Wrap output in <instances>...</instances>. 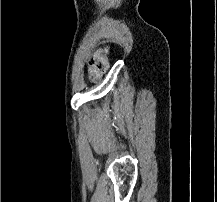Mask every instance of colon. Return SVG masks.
Here are the masks:
<instances>
[{"instance_id":"5ec220e1","label":"colon","mask_w":217,"mask_h":202,"mask_svg":"<svg viewBox=\"0 0 217 202\" xmlns=\"http://www.w3.org/2000/svg\"><path fill=\"white\" fill-rule=\"evenodd\" d=\"M108 54L109 47L97 49L91 54L87 62V72L91 81H100L103 74L108 70Z\"/></svg>"}]
</instances>
